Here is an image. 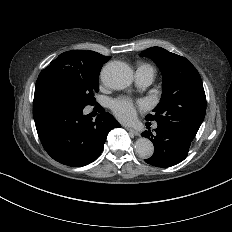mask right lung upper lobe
<instances>
[{
  "label": "right lung upper lobe",
  "instance_id": "obj_1",
  "mask_svg": "<svg viewBox=\"0 0 232 232\" xmlns=\"http://www.w3.org/2000/svg\"><path fill=\"white\" fill-rule=\"evenodd\" d=\"M57 59L68 64H81L101 70L103 64L110 59V56H103L94 51L72 50L60 54Z\"/></svg>",
  "mask_w": 232,
  "mask_h": 232
}]
</instances>
